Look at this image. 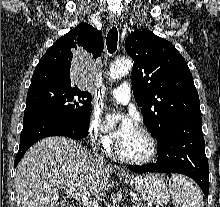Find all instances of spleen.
<instances>
[{
	"label": "spleen",
	"instance_id": "1",
	"mask_svg": "<svg viewBox=\"0 0 220 207\" xmlns=\"http://www.w3.org/2000/svg\"><path fill=\"white\" fill-rule=\"evenodd\" d=\"M172 202L175 207H203V197L197 186L182 175L169 180Z\"/></svg>",
	"mask_w": 220,
	"mask_h": 207
}]
</instances>
